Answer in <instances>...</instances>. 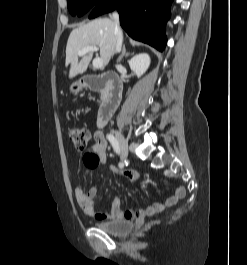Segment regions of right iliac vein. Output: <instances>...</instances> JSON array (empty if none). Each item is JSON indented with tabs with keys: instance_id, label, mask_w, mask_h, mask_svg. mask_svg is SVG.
<instances>
[{
	"instance_id": "right-iliac-vein-1",
	"label": "right iliac vein",
	"mask_w": 247,
	"mask_h": 265,
	"mask_svg": "<svg viewBox=\"0 0 247 265\" xmlns=\"http://www.w3.org/2000/svg\"><path fill=\"white\" fill-rule=\"evenodd\" d=\"M115 136H116V139L118 141V145H119V149H120L122 157L127 158V156H128V143H127L126 139L124 138V136L119 131L115 132Z\"/></svg>"
}]
</instances>
